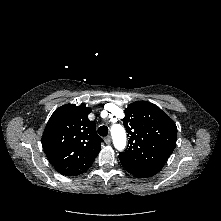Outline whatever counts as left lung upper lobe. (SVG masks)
<instances>
[{
    "label": "left lung upper lobe",
    "mask_w": 221,
    "mask_h": 221,
    "mask_svg": "<svg viewBox=\"0 0 221 221\" xmlns=\"http://www.w3.org/2000/svg\"><path fill=\"white\" fill-rule=\"evenodd\" d=\"M124 113L129 141L128 148L119 155L121 164L162 168L175 148L176 124L159 107L147 101L131 103Z\"/></svg>",
    "instance_id": "left-lung-upper-lobe-1"
}]
</instances>
